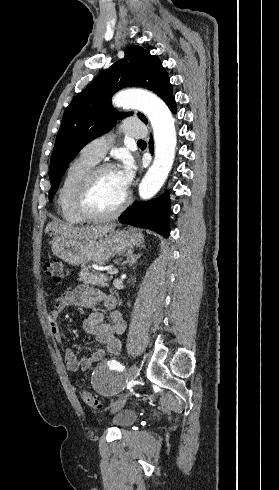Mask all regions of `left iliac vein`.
Returning <instances> with one entry per match:
<instances>
[{"label":"left iliac vein","mask_w":279,"mask_h":490,"mask_svg":"<svg viewBox=\"0 0 279 490\" xmlns=\"http://www.w3.org/2000/svg\"><path fill=\"white\" fill-rule=\"evenodd\" d=\"M139 370L135 365L130 366L128 370V377L132 380H138ZM117 409V408H116Z\"/></svg>","instance_id":"4c4485c4"}]
</instances>
